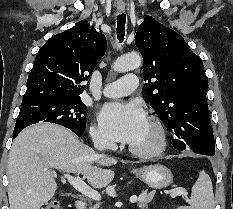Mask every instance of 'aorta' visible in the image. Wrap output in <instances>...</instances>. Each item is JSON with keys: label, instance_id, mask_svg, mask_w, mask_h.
<instances>
[{"label": "aorta", "instance_id": "aorta-1", "mask_svg": "<svg viewBox=\"0 0 233 209\" xmlns=\"http://www.w3.org/2000/svg\"><path fill=\"white\" fill-rule=\"evenodd\" d=\"M142 58L140 55L132 53L118 58L113 64V70L116 72H127L140 67Z\"/></svg>", "mask_w": 233, "mask_h": 209}]
</instances>
